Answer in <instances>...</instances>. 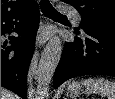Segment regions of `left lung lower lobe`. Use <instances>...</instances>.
<instances>
[{
  "instance_id": "left-lung-lower-lobe-1",
  "label": "left lung lower lobe",
  "mask_w": 115,
  "mask_h": 99,
  "mask_svg": "<svg viewBox=\"0 0 115 99\" xmlns=\"http://www.w3.org/2000/svg\"><path fill=\"white\" fill-rule=\"evenodd\" d=\"M73 42H66L55 71L53 85L83 75L115 77V34L98 30H73Z\"/></svg>"
}]
</instances>
